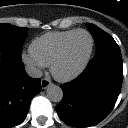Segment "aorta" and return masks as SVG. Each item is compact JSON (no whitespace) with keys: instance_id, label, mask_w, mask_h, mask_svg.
Instances as JSON below:
<instances>
[{"instance_id":"aorta-1","label":"aorta","mask_w":128,"mask_h":128,"mask_svg":"<svg viewBox=\"0 0 128 128\" xmlns=\"http://www.w3.org/2000/svg\"><path fill=\"white\" fill-rule=\"evenodd\" d=\"M47 98L52 102H60L63 98V91L57 85H50L46 91Z\"/></svg>"}]
</instances>
